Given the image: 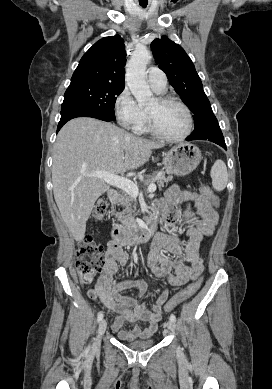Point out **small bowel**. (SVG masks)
<instances>
[{
    "label": "small bowel",
    "mask_w": 272,
    "mask_h": 389,
    "mask_svg": "<svg viewBox=\"0 0 272 389\" xmlns=\"http://www.w3.org/2000/svg\"><path fill=\"white\" fill-rule=\"evenodd\" d=\"M181 206H185L183 210L180 209ZM154 211L163 217L169 233L156 235L148 256V264L156 278L166 279L172 286L185 285L198 278L204 270L200 249L203 238L214 233L218 221L217 213L203 194L178 185L168 188L166 196L154 204ZM182 221L186 225L187 239L184 241L177 234L178 225ZM162 250L174 255L176 259L165 257ZM127 262V253L120 245L110 241L105 264L95 285L87 294L92 300H99L117 314L111 322V329L118 333L120 339H146L157 330L168 292L163 289L151 308L144 302L122 296L120 291L124 289H137L141 295H144L147 289L146 284L139 280L121 283L114 279L118 267ZM126 322H145L147 325L144 328L137 324L133 328H123Z\"/></svg>",
    "instance_id": "c3829d8e"
}]
</instances>
